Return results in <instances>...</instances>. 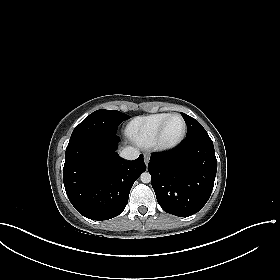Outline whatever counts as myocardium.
<instances>
[{
  "label": "myocardium",
  "mask_w": 280,
  "mask_h": 280,
  "mask_svg": "<svg viewBox=\"0 0 280 280\" xmlns=\"http://www.w3.org/2000/svg\"><path fill=\"white\" fill-rule=\"evenodd\" d=\"M173 117H179L182 120L183 130H182L181 134L179 135V137H177L176 139H174L172 141L167 142V141L163 140V136H164L165 128H166L169 120ZM186 133H187V121H186L185 117L180 113H172L159 126L157 134L152 141V146L156 151H160V152L170 151V150L176 148L184 140Z\"/></svg>",
  "instance_id": "myocardium-1"
}]
</instances>
